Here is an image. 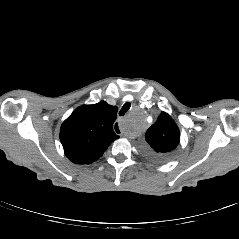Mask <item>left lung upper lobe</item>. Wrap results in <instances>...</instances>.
Listing matches in <instances>:
<instances>
[{
    "label": "left lung upper lobe",
    "instance_id": "left-lung-upper-lobe-1",
    "mask_svg": "<svg viewBox=\"0 0 239 239\" xmlns=\"http://www.w3.org/2000/svg\"><path fill=\"white\" fill-rule=\"evenodd\" d=\"M143 150L146 156L155 161L170 157L180 140V132L171 116L162 112L157 121L147 130Z\"/></svg>",
    "mask_w": 239,
    "mask_h": 239
}]
</instances>
